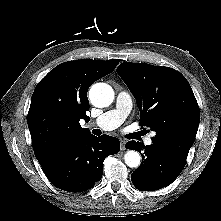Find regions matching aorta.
Listing matches in <instances>:
<instances>
[{
    "mask_svg": "<svg viewBox=\"0 0 221 221\" xmlns=\"http://www.w3.org/2000/svg\"><path fill=\"white\" fill-rule=\"evenodd\" d=\"M89 99L96 107H107L113 102V89L106 83H96L89 91ZM124 161L128 167L137 168L141 163V156L137 151L129 150L124 155Z\"/></svg>",
    "mask_w": 221,
    "mask_h": 221,
    "instance_id": "762f6f07",
    "label": "aorta"
}]
</instances>
